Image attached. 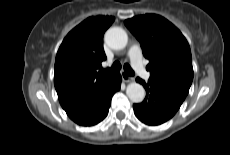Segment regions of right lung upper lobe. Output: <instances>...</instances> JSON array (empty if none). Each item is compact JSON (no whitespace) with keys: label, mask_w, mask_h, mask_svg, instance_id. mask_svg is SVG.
Returning <instances> with one entry per match:
<instances>
[{"label":"right lung upper lobe","mask_w":230,"mask_h":155,"mask_svg":"<svg viewBox=\"0 0 230 155\" xmlns=\"http://www.w3.org/2000/svg\"><path fill=\"white\" fill-rule=\"evenodd\" d=\"M114 20L89 17L64 38L54 67V85L64 110L93 99L115 77L116 72L99 71L106 59L103 35Z\"/></svg>","instance_id":"right-lung-upper-lobe-1"}]
</instances>
